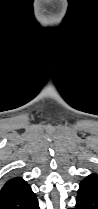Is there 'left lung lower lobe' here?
Returning a JSON list of instances; mask_svg holds the SVG:
<instances>
[{"mask_svg":"<svg viewBox=\"0 0 98 209\" xmlns=\"http://www.w3.org/2000/svg\"><path fill=\"white\" fill-rule=\"evenodd\" d=\"M98 209V176L89 175L79 185L75 208Z\"/></svg>","mask_w":98,"mask_h":209,"instance_id":"obj_1","label":"left lung lower lobe"}]
</instances>
